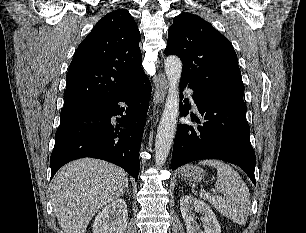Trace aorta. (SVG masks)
<instances>
[{
    "mask_svg": "<svg viewBox=\"0 0 306 233\" xmlns=\"http://www.w3.org/2000/svg\"><path fill=\"white\" fill-rule=\"evenodd\" d=\"M182 71V62L176 56L165 60V73L169 82L168 95L155 139V161L157 166L165 163L176 132L179 114L178 83Z\"/></svg>",
    "mask_w": 306,
    "mask_h": 233,
    "instance_id": "aorta-1",
    "label": "aorta"
}]
</instances>
